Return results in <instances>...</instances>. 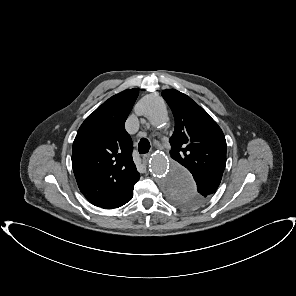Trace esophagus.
<instances>
[{"label":"esophagus","instance_id":"1","mask_svg":"<svg viewBox=\"0 0 296 296\" xmlns=\"http://www.w3.org/2000/svg\"><path fill=\"white\" fill-rule=\"evenodd\" d=\"M149 158H150V154H144V155L142 156V161H143V163H144V164H147Z\"/></svg>","mask_w":296,"mask_h":296}]
</instances>
